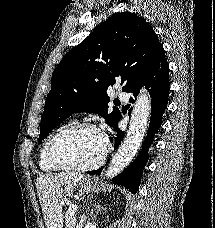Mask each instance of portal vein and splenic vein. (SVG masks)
<instances>
[{
    "instance_id": "obj_1",
    "label": "portal vein and splenic vein",
    "mask_w": 215,
    "mask_h": 228,
    "mask_svg": "<svg viewBox=\"0 0 215 228\" xmlns=\"http://www.w3.org/2000/svg\"><path fill=\"white\" fill-rule=\"evenodd\" d=\"M70 210H72V212H76V210H77L76 204H75V206H70Z\"/></svg>"
}]
</instances>
